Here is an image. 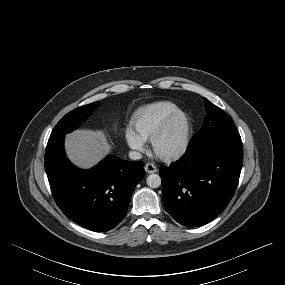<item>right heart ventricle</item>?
Segmentation results:
<instances>
[{
  "mask_svg": "<svg viewBox=\"0 0 285 285\" xmlns=\"http://www.w3.org/2000/svg\"><path fill=\"white\" fill-rule=\"evenodd\" d=\"M180 107L169 100H161L138 108L132 117L134 131L144 140L151 138L162 122Z\"/></svg>",
  "mask_w": 285,
  "mask_h": 285,
  "instance_id": "obj_1",
  "label": "right heart ventricle"
}]
</instances>
